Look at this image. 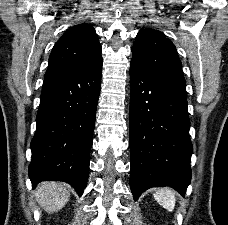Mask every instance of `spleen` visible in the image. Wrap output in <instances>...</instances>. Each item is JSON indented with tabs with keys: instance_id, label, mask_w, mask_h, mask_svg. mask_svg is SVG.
Segmentation results:
<instances>
[{
	"instance_id": "spleen-1",
	"label": "spleen",
	"mask_w": 228,
	"mask_h": 225,
	"mask_svg": "<svg viewBox=\"0 0 228 225\" xmlns=\"http://www.w3.org/2000/svg\"><path fill=\"white\" fill-rule=\"evenodd\" d=\"M153 197L161 207H164L167 211H174L176 197L173 189H168V187H165V189H158Z\"/></svg>"
}]
</instances>
